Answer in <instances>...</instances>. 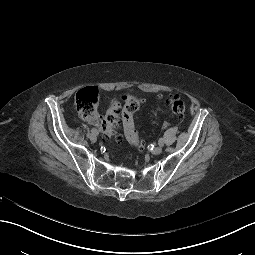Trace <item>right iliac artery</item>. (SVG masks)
Listing matches in <instances>:
<instances>
[{"label":"right iliac artery","instance_id":"82829eb1","mask_svg":"<svg viewBox=\"0 0 255 255\" xmlns=\"http://www.w3.org/2000/svg\"><path fill=\"white\" fill-rule=\"evenodd\" d=\"M91 132L94 133V134H96V135L98 134V131H97L96 128H92V129H91Z\"/></svg>","mask_w":255,"mask_h":255}]
</instances>
